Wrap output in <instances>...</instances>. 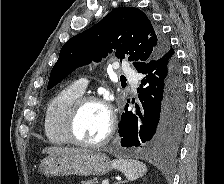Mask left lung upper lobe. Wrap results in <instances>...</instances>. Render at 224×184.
Instances as JSON below:
<instances>
[{
  "label": "left lung upper lobe",
  "mask_w": 224,
  "mask_h": 184,
  "mask_svg": "<svg viewBox=\"0 0 224 184\" xmlns=\"http://www.w3.org/2000/svg\"><path fill=\"white\" fill-rule=\"evenodd\" d=\"M111 49L117 58H125L139 70L161 57L168 49L167 41L155 30L148 17L138 8L119 7L100 22L69 39L62 47L54 65L48 89L77 67L99 62Z\"/></svg>",
  "instance_id": "left-lung-upper-lobe-1"
}]
</instances>
